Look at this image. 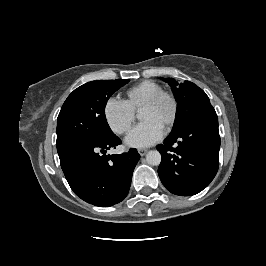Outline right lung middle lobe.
I'll use <instances>...</instances> for the list:
<instances>
[{"label":"right lung middle lobe","mask_w":266,"mask_h":266,"mask_svg":"<svg viewBox=\"0 0 266 266\" xmlns=\"http://www.w3.org/2000/svg\"><path fill=\"white\" fill-rule=\"evenodd\" d=\"M128 81H92L68 96L57 119L59 157L76 146L91 144L113 134L105 117V106L110 96Z\"/></svg>","instance_id":"1"}]
</instances>
